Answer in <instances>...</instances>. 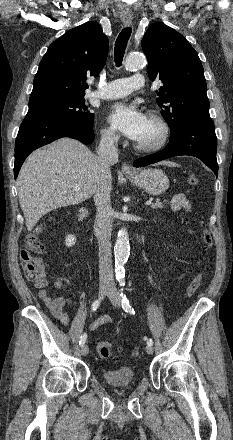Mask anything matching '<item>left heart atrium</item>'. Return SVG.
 <instances>
[{
	"instance_id": "39dd6f15",
	"label": "left heart atrium",
	"mask_w": 233,
	"mask_h": 440,
	"mask_svg": "<svg viewBox=\"0 0 233 440\" xmlns=\"http://www.w3.org/2000/svg\"><path fill=\"white\" fill-rule=\"evenodd\" d=\"M107 119L115 129L136 141L147 124V117L136 106L122 102L110 107Z\"/></svg>"
}]
</instances>
